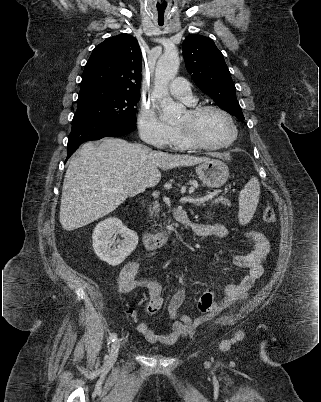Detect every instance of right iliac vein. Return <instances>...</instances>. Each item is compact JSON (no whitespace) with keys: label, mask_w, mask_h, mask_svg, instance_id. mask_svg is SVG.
<instances>
[{"label":"right iliac vein","mask_w":321,"mask_h":402,"mask_svg":"<svg viewBox=\"0 0 321 402\" xmlns=\"http://www.w3.org/2000/svg\"><path fill=\"white\" fill-rule=\"evenodd\" d=\"M119 348H120V340L114 341L111 345V349L109 352V362H114L116 360Z\"/></svg>","instance_id":"right-iliac-vein-1"}]
</instances>
